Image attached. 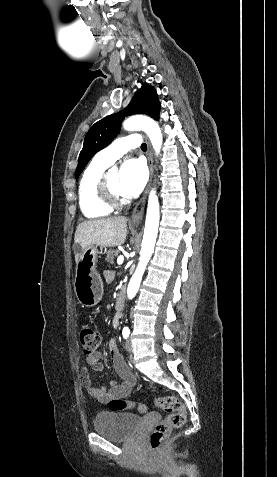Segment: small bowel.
Returning <instances> with one entry per match:
<instances>
[{"instance_id":"obj_1","label":"small bowel","mask_w":277,"mask_h":477,"mask_svg":"<svg viewBox=\"0 0 277 477\" xmlns=\"http://www.w3.org/2000/svg\"><path fill=\"white\" fill-rule=\"evenodd\" d=\"M106 278L110 280L112 278V274L110 272L106 273ZM119 320V316H116L113 319L114 327L118 326ZM109 351L112 365L120 377V380H112L110 382L109 389H107L105 386L94 387L91 383L89 375V369L95 372H101L103 370V364L100 361L102 356L101 352H95L94 354L87 356V367H84L80 374L81 380L88 395L100 403L107 404L113 399H124L133 391L136 385V377L130 371L123 356L119 352L116 340L114 338L109 341Z\"/></svg>"}]
</instances>
